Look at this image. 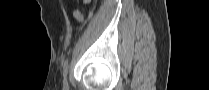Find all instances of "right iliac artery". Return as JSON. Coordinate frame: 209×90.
I'll return each instance as SVG.
<instances>
[{"label":"right iliac artery","instance_id":"obj_1","mask_svg":"<svg viewBox=\"0 0 209 90\" xmlns=\"http://www.w3.org/2000/svg\"><path fill=\"white\" fill-rule=\"evenodd\" d=\"M67 70H68V61H66L65 64H64V72H65V74H67Z\"/></svg>","mask_w":209,"mask_h":90}]
</instances>
